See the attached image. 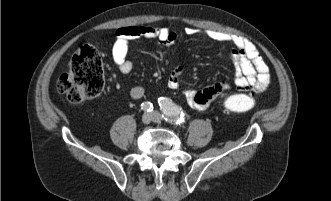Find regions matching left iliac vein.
<instances>
[{
	"label": "left iliac vein",
	"instance_id": "4c4485c4",
	"mask_svg": "<svg viewBox=\"0 0 331 201\" xmlns=\"http://www.w3.org/2000/svg\"><path fill=\"white\" fill-rule=\"evenodd\" d=\"M151 115H152V120H153L154 122H156V123H160V122H161V115H160L159 112H157V111H153V112L151 113Z\"/></svg>",
	"mask_w": 331,
	"mask_h": 201
}]
</instances>
